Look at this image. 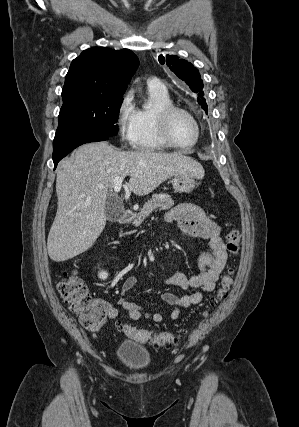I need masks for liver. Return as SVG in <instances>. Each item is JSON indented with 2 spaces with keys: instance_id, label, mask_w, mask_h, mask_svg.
Returning a JSON list of instances; mask_svg holds the SVG:
<instances>
[{
  "instance_id": "6515ba94",
  "label": "liver",
  "mask_w": 299,
  "mask_h": 427,
  "mask_svg": "<svg viewBox=\"0 0 299 427\" xmlns=\"http://www.w3.org/2000/svg\"><path fill=\"white\" fill-rule=\"evenodd\" d=\"M177 174L201 179L204 169L177 152L119 151L107 142L80 146L57 168L58 208L47 240L49 257L66 261L94 244L106 225L105 203L115 178L130 175V190L144 196Z\"/></svg>"
}]
</instances>
